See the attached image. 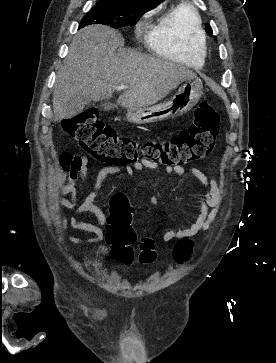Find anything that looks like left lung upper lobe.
Segmentation results:
<instances>
[{
    "label": "left lung upper lobe",
    "instance_id": "left-lung-upper-lobe-1",
    "mask_svg": "<svg viewBox=\"0 0 276 363\" xmlns=\"http://www.w3.org/2000/svg\"><path fill=\"white\" fill-rule=\"evenodd\" d=\"M206 31L209 33V34H212V29L210 27L209 24L206 25Z\"/></svg>",
    "mask_w": 276,
    "mask_h": 363
}]
</instances>
